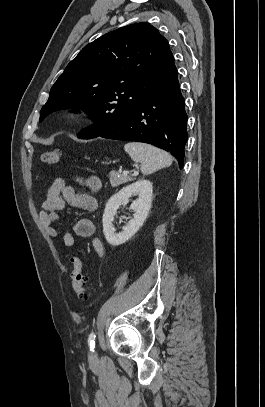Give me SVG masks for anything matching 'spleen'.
<instances>
[{"instance_id": "3e777b00", "label": "spleen", "mask_w": 265, "mask_h": 407, "mask_svg": "<svg viewBox=\"0 0 265 407\" xmlns=\"http://www.w3.org/2000/svg\"><path fill=\"white\" fill-rule=\"evenodd\" d=\"M124 150L133 161L140 163L143 175L151 174L172 164V157L166 151L146 143L130 142L124 145Z\"/></svg>"}]
</instances>
